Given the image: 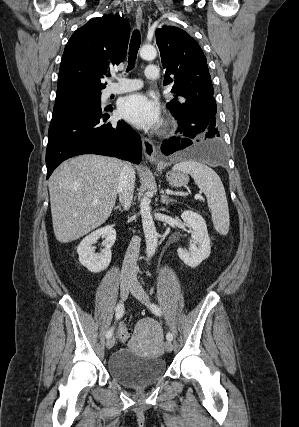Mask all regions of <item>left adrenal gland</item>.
Segmentation results:
<instances>
[{
  "mask_svg": "<svg viewBox=\"0 0 299 427\" xmlns=\"http://www.w3.org/2000/svg\"><path fill=\"white\" fill-rule=\"evenodd\" d=\"M161 202L163 204L168 205L170 202H175V200H173L172 198H170L169 196H167L164 192L161 195Z\"/></svg>",
  "mask_w": 299,
  "mask_h": 427,
  "instance_id": "1",
  "label": "left adrenal gland"
}]
</instances>
